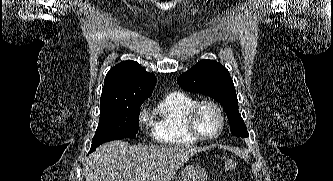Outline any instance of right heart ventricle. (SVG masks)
<instances>
[{"label": "right heart ventricle", "instance_id": "1", "mask_svg": "<svg viewBox=\"0 0 333 181\" xmlns=\"http://www.w3.org/2000/svg\"><path fill=\"white\" fill-rule=\"evenodd\" d=\"M195 102L191 96L182 92H172L164 96L150 113L154 139L168 144L199 142L186 126V113Z\"/></svg>", "mask_w": 333, "mask_h": 181}]
</instances>
